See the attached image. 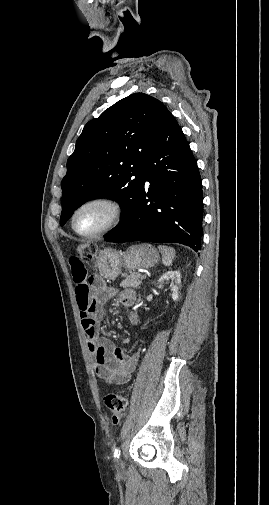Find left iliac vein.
Returning a JSON list of instances; mask_svg holds the SVG:
<instances>
[{
	"label": "left iliac vein",
	"mask_w": 269,
	"mask_h": 505,
	"mask_svg": "<svg viewBox=\"0 0 269 505\" xmlns=\"http://www.w3.org/2000/svg\"><path fill=\"white\" fill-rule=\"evenodd\" d=\"M116 468L118 471H123L124 470V464L121 459L116 460Z\"/></svg>",
	"instance_id": "1"
}]
</instances>
